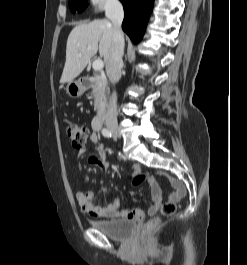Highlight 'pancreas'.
I'll return each instance as SVG.
<instances>
[{
  "instance_id": "obj_1",
  "label": "pancreas",
  "mask_w": 247,
  "mask_h": 265,
  "mask_svg": "<svg viewBox=\"0 0 247 265\" xmlns=\"http://www.w3.org/2000/svg\"><path fill=\"white\" fill-rule=\"evenodd\" d=\"M92 82L94 110L98 113L102 110L106 102V85L103 78L98 75L92 77Z\"/></svg>"
}]
</instances>
